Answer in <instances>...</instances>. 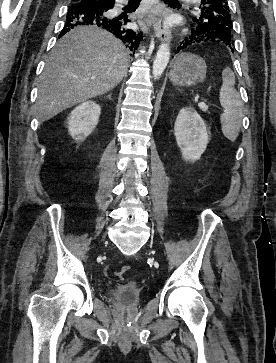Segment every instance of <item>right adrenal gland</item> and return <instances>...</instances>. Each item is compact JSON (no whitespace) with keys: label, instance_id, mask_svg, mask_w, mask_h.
<instances>
[{"label":"right adrenal gland","instance_id":"right-adrenal-gland-1","mask_svg":"<svg viewBox=\"0 0 276 363\" xmlns=\"http://www.w3.org/2000/svg\"><path fill=\"white\" fill-rule=\"evenodd\" d=\"M108 98L111 99V94L108 95Z\"/></svg>","mask_w":276,"mask_h":363}]
</instances>
